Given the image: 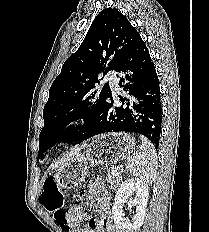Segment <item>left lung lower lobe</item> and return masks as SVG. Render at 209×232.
<instances>
[{
  "label": "left lung lower lobe",
  "instance_id": "obj_1",
  "mask_svg": "<svg viewBox=\"0 0 209 232\" xmlns=\"http://www.w3.org/2000/svg\"><path fill=\"white\" fill-rule=\"evenodd\" d=\"M118 72L119 86L127 93L122 104L108 98L101 115L87 131L84 140L108 132H134L159 146L162 106L159 80L145 42H135Z\"/></svg>",
  "mask_w": 209,
  "mask_h": 232
}]
</instances>
